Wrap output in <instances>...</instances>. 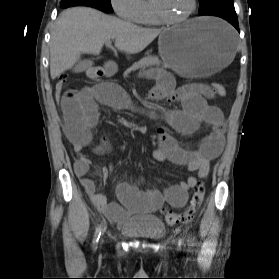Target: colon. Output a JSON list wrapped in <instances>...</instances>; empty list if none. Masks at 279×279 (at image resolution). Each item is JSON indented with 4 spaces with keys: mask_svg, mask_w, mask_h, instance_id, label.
<instances>
[{
    "mask_svg": "<svg viewBox=\"0 0 279 279\" xmlns=\"http://www.w3.org/2000/svg\"><path fill=\"white\" fill-rule=\"evenodd\" d=\"M66 79L60 78L55 86V97L57 100H61L64 93L66 92ZM211 91L214 94L224 96L226 90L223 84L213 83L211 86ZM205 196V187L203 184H198L192 193L188 207L184 212H175L169 209L163 210V215L168 224L175 225L189 220L200 208Z\"/></svg>",
    "mask_w": 279,
    "mask_h": 279,
    "instance_id": "5ec220e1",
    "label": "colon"
}]
</instances>
